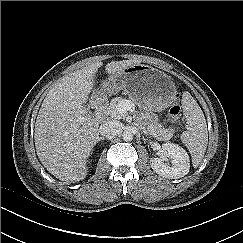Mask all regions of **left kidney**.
Segmentation results:
<instances>
[{"label": "left kidney", "instance_id": "5707ae66", "mask_svg": "<svg viewBox=\"0 0 243 243\" xmlns=\"http://www.w3.org/2000/svg\"><path fill=\"white\" fill-rule=\"evenodd\" d=\"M152 169L161 176L178 179L188 174L190 159L185 149L174 143H164L160 157L151 158Z\"/></svg>", "mask_w": 243, "mask_h": 243}]
</instances>
